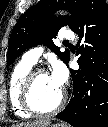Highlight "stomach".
Segmentation results:
<instances>
[{"instance_id": "stomach-1", "label": "stomach", "mask_w": 108, "mask_h": 127, "mask_svg": "<svg viewBox=\"0 0 108 127\" xmlns=\"http://www.w3.org/2000/svg\"><path fill=\"white\" fill-rule=\"evenodd\" d=\"M46 127H70V126L66 123H54V124L49 123Z\"/></svg>"}]
</instances>
